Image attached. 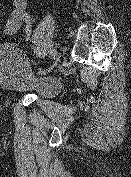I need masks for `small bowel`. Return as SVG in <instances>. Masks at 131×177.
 <instances>
[{
	"instance_id": "small-bowel-1",
	"label": "small bowel",
	"mask_w": 131,
	"mask_h": 177,
	"mask_svg": "<svg viewBox=\"0 0 131 177\" xmlns=\"http://www.w3.org/2000/svg\"><path fill=\"white\" fill-rule=\"evenodd\" d=\"M12 3L13 9L1 33L16 39L23 30L24 37L29 39L32 33V19L28 13V0H12Z\"/></svg>"
}]
</instances>
